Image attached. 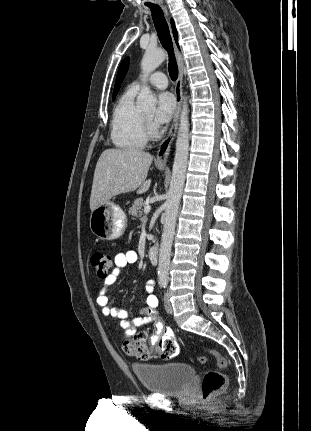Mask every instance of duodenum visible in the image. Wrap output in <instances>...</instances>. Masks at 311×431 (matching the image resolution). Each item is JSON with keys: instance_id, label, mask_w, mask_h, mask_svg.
Listing matches in <instances>:
<instances>
[{"instance_id": "obj_1", "label": "duodenum", "mask_w": 311, "mask_h": 431, "mask_svg": "<svg viewBox=\"0 0 311 431\" xmlns=\"http://www.w3.org/2000/svg\"><path fill=\"white\" fill-rule=\"evenodd\" d=\"M147 254H148V258H149L151 263H153V264L157 263L158 256H159L158 245L154 244V245L150 246Z\"/></svg>"}]
</instances>
